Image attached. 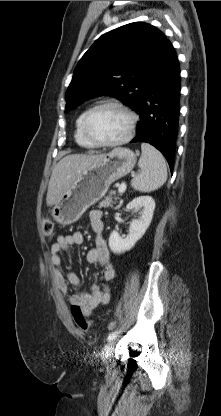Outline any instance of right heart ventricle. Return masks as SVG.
Listing matches in <instances>:
<instances>
[{"label":"right heart ventricle","instance_id":"right-heart-ventricle-1","mask_svg":"<svg viewBox=\"0 0 221 416\" xmlns=\"http://www.w3.org/2000/svg\"><path fill=\"white\" fill-rule=\"evenodd\" d=\"M90 108L84 109L76 119L74 138L78 145L85 148H93L95 145L89 141L83 133L82 122L85 114Z\"/></svg>","mask_w":221,"mask_h":416}]
</instances>
